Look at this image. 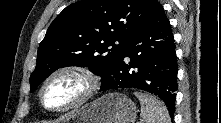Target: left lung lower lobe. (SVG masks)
<instances>
[{"label":"left lung lower lobe","mask_w":221,"mask_h":123,"mask_svg":"<svg viewBox=\"0 0 221 123\" xmlns=\"http://www.w3.org/2000/svg\"><path fill=\"white\" fill-rule=\"evenodd\" d=\"M129 57V61H124ZM177 57L174 37L160 3L128 39L100 91L137 88L163 100L172 117L177 90Z\"/></svg>","instance_id":"0a47b994"}]
</instances>
